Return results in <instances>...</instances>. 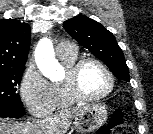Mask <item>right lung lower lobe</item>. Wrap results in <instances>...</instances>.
Listing matches in <instances>:
<instances>
[{
	"mask_svg": "<svg viewBox=\"0 0 153 134\" xmlns=\"http://www.w3.org/2000/svg\"><path fill=\"white\" fill-rule=\"evenodd\" d=\"M25 115L22 107L0 105V117H21Z\"/></svg>",
	"mask_w": 153,
	"mask_h": 134,
	"instance_id": "98d812e1",
	"label": "right lung lower lobe"
}]
</instances>
